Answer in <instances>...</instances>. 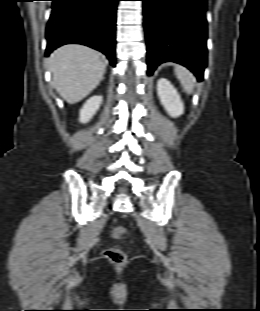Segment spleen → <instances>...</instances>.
Segmentation results:
<instances>
[{
	"mask_svg": "<svg viewBox=\"0 0 260 311\" xmlns=\"http://www.w3.org/2000/svg\"><path fill=\"white\" fill-rule=\"evenodd\" d=\"M175 74L179 79L184 91L188 94H191L195 85L194 75L188 69L181 65L175 66Z\"/></svg>",
	"mask_w": 260,
	"mask_h": 311,
	"instance_id": "1",
	"label": "spleen"
}]
</instances>
